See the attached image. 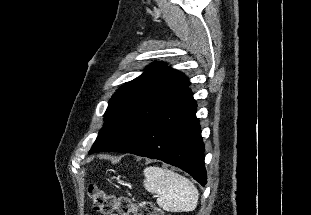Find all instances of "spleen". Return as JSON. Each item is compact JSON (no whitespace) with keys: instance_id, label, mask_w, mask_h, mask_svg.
<instances>
[{"instance_id":"3e777b00","label":"spleen","mask_w":311,"mask_h":215,"mask_svg":"<svg viewBox=\"0 0 311 215\" xmlns=\"http://www.w3.org/2000/svg\"><path fill=\"white\" fill-rule=\"evenodd\" d=\"M144 187L158 194L157 204L168 212H190L198 204L199 192L186 177L166 168L150 166L144 170Z\"/></svg>"}]
</instances>
